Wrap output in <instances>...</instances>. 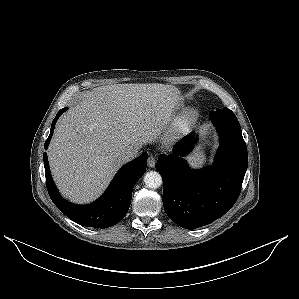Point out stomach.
<instances>
[{
  "instance_id": "1",
  "label": "stomach",
  "mask_w": 299,
  "mask_h": 299,
  "mask_svg": "<svg viewBox=\"0 0 299 299\" xmlns=\"http://www.w3.org/2000/svg\"><path fill=\"white\" fill-rule=\"evenodd\" d=\"M189 162L195 168L202 167L205 162V156L201 151L194 152L188 157Z\"/></svg>"
}]
</instances>
